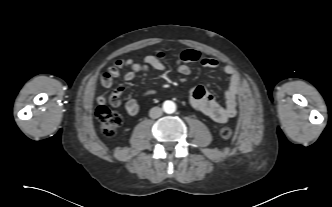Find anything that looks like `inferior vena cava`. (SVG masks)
I'll return each instance as SVG.
<instances>
[{"mask_svg":"<svg viewBox=\"0 0 332 207\" xmlns=\"http://www.w3.org/2000/svg\"><path fill=\"white\" fill-rule=\"evenodd\" d=\"M162 109L159 108V107H153L152 109H150V112H149V116L153 119H156L160 116H162Z\"/></svg>","mask_w":332,"mask_h":207,"instance_id":"obj_1","label":"inferior vena cava"}]
</instances>
